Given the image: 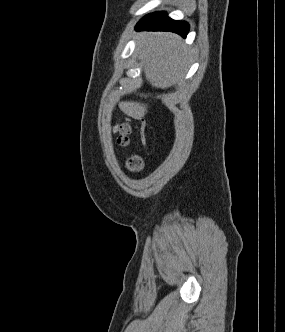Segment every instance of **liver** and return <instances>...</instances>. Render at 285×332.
<instances>
[{
  "mask_svg": "<svg viewBox=\"0 0 285 332\" xmlns=\"http://www.w3.org/2000/svg\"><path fill=\"white\" fill-rule=\"evenodd\" d=\"M138 49L146 79L153 87H171L184 76L189 52L178 35L144 32L140 35ZM119 108L137 120L144 118L147 113V104L135 101L120 102Z\"/></svg>",
  "mask_w": 285,
  "mask_h": 332,
  "instance_id": "1",
  "label": "liver"
}]
</instances>
